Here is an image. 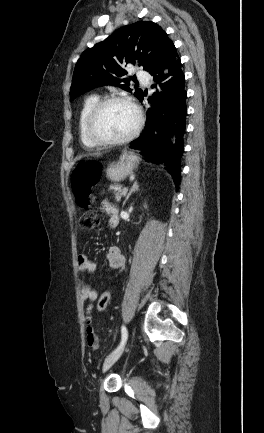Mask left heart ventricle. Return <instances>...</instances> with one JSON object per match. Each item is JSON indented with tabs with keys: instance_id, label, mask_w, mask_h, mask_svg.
<instances>
[{
	"instance_id": "b2bd125f",
	"label": "left heart ventricle",
	"mask_w": 264,
	"mask_h": 433,
	"mask_svg": "<svg viewBox=\"0 0 264 433\" xmlns=\"http://www.w3.org/2000/svg\"><path fill=\"white\" fill-rule=\"evenodd\" d=\"M136 123L133 109L124 103H113L106 106L99 114L95 133L102 138L117 139L127 135Z\"/></svg>"
}]
</instances>
